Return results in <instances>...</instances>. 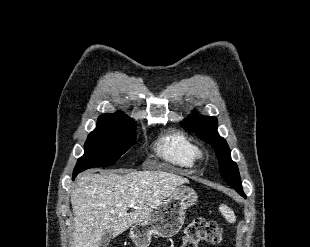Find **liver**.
I'll list each match as a JSON object with an SVG mask.
<instances>
[{"label":"liver","mask_w":310,"mask_h":247,"mask_svg":"<svg viewBox=\"0 0 310 247\" xmlns=\"http://www.w3.org/2000/svg\"><path fill=\"white\" fill-rule=\"evenodd\" d=\"M182 176L162 170L127 174L83 173L71 192L74 214L73 247H99L102 235L114 237L145 220L181 184ZM135 202L132 212L129 203Z\"/></svg>","instance_id":"1"}]
</instances>
